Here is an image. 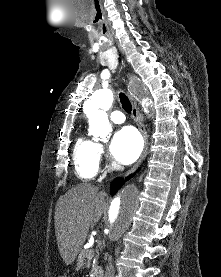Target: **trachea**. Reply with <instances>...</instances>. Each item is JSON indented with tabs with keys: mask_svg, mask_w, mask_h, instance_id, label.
Listing matches in <instances>:
<instances>
[{
	"mask_svg": "<svg viewBox=\"0 0 221 277\" xmlns=\"http://www.w3.org/2000/svg\"><path fill=\"white\" fill-rule=\"evenodd\" d=\"M119 99H120V102L122 104L123 109L127 113H131L132 105H131V102L129 101L128 97L126 96V94L123 93V92H120L119 93Z\"/></svg>",
	"mask_w": 221,
	"mask_h": 277,
	"instance_id": "obj_1",
	"label": "trachea"
}]
</instances>
